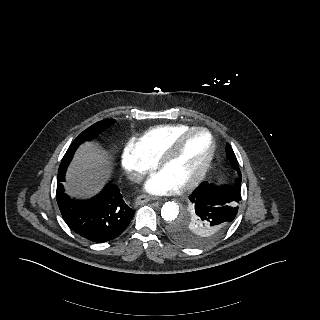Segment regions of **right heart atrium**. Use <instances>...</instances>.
Returning <instances> with one entry per match:
<instances>
[{"instance_id":"1","label":"right heart atrium","mask_w":320,"mask_h":320,"mask_svg":"<svg viewBox=\"0 0 320 320\" xmlns=\"http://www.w3.org/2000/svg\"><path fill=\"white\" fill-rule=\"evenodd\" d=\"M121 165L128 178L139 182L155 167V162L147 158L132 142L129 143L121 156Z\"/></svg>"}]
</instances>
